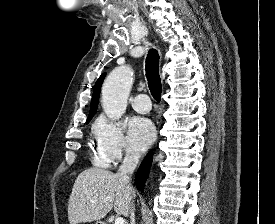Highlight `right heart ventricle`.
Instances as JSON below:
<instances>
[{"instance_id":"e07e8e85","label":"right heart ventricle","mask_w":275,"mask_h":224,"mask_svg":"<svg viewBox=\"0 0 275 224\" xmlns=\"http://www.w3.org/2000/svg\"><path fill=\"white\" fill-rule=\"evenodd\" d=\"M92 158L95 165L99 167H109L111 160L97 147L93 148Z\"/></svg>"}]
</instances>
